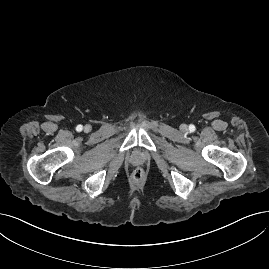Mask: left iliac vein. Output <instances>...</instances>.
Returning a JSON list of instances; mask_svg holds the SVG:
<instances>
[{
    "label": "left iliac vein",
    "mask_w": 269,
    "mask_h": 269,
    "mask_svg": "<svg viewBox=\"0 0 269 269\" xmlns=\"http://www.w3.org/2000/svg\"><path fill=\"white\" fill-rule=\"evenodd\" d=\"M180 128L184 132L188 130V126L186 124H182Z\"/></svg>",
    "instance_id": "1"
}]
</instances>
